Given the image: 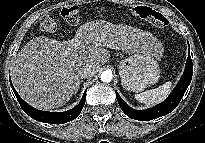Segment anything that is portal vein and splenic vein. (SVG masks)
<instances>
[{"instance_id": "18ae733b", "label": "portal vein and splenic vein", "mask_w": 205, "mask_h": 143, "mask_svg": "<svg viewBox=\"0 0 205 143\" xmlns=\"http://www.w3.org/2000/svg\"><path fill=\"white\" fill-rule=\"evenodd\" d=\"M95 45H96V46H100L101 44H99V43H95Z\"/></svg>"}]
</instances>
